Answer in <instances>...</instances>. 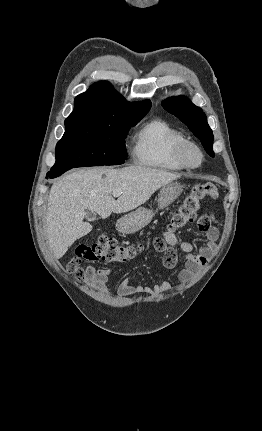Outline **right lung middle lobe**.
I'll use <instances>...</instances> for the list:
<instances>
[{"label":"right lung middle lobe","mask_w":262,"mask_h":431,"mask_svg":"<svg viewBox=\"0 0 262 431\" xmlns=\"http://www.w3.org/2000/svg\"><path fill=\"white\" fill-rule=\"evenodd\" d=\"M143 117L65 124L66 130L56 145V162L51 170L123 164L127 157L124 138Z\"/></svg>","instance_id":"obj_1"}]
</instances>
